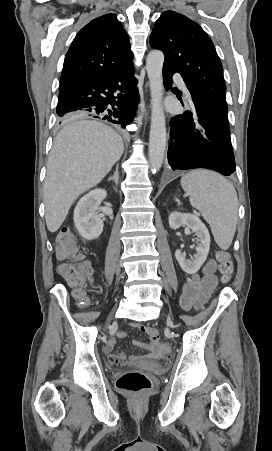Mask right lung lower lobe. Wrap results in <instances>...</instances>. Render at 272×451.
<instances>
[{"mask_svg":"<svg viewBox=\"0 0 272 451\" xmlns=\"http://www.w3.org/2000/svg\"><path fill=\"white\" fill-rule=\"evenodd\" d=\"M137 102L132 61L106 76L60 88L58 122L96 118L126 129L133 121ZM109 105L112 110L107 109Z\"/></svg>","mask_w":272,"mask_h":451,"instance_id":"obj_1","label":"right lung lower lobe"}]
</instances>
